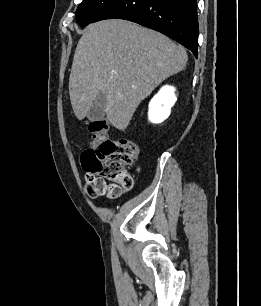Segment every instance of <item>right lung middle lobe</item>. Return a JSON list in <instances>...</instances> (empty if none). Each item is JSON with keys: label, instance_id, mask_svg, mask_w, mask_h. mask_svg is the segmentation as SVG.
Here are the masks:
<instances>
[{"label": "right lung middle lobe", "instance_id": "dd1d6c3e", "mask_svg": "<svg viewBox=\"0 0 261 306\" xmlns=\"http://www.w3.org/2000/svg\"><path fill=\"white\" fill-rule=\"evenodd\" d=\"M115 0H83L76 11V20L81 27L92 23Z\"/></svg>", "mask_w": 261, "mask_h": 306}]
</instances>
